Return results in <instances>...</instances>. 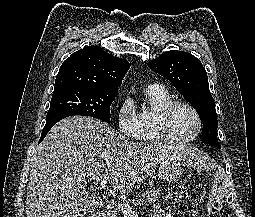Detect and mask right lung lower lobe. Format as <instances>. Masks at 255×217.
<instances>
[{
    "mask_svg": "<svg viewBox=\"0 0 255 217\" xmlns=\"http://www.w3.org/2000/svg\"><path fill=\"white\" fill-rule=\"evenodd\" d=\"M72 115L73 114H69V113H59V114L53 115L49 118H46L47 119L46 124H45V126L42 130L41 138L39 140V143L44 139V137L49 132V130L53 127V125H55L61 119L72 116Z\"/></svg>",
    "mask_w": 255,
    "mask_h": 217,
    "instance_id": "right-lung-lower-lobe-1",
    "label": "right lung lower lobe"
}]
</instances>
